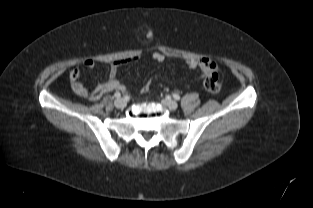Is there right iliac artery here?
<instances>
[{
	"mask_svg": "<svg viewBox=\"0 0 313 208\" xmlns=\"http://www.w3.org/2000/svg\"><path fill=\"white\" fill-rule=\"evenodd\" d=\"M114 97H116V98H120V97H121V93H120V92H116V93H114Z\"/></svg>",
	"mask_w": 313,
	"mask_h": 208,
	"instance_id": "right-iliac-artery-1",
	"label": "right iliac artery"
}]
</instances>
